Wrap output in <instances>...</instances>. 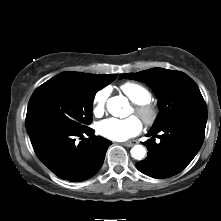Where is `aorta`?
Returning <instances> with one entry per match:
<instances>
[{
	"instance_id": "762f6f07",
	"label": "aorta",
	"mask_w": 221,
	"mask_h": 221,
	"mask_svg": "<svg viewBox=\"0 0 221 221\" xmlns=\"http://www.w3.org/2000/svg\"><path fill=\"white\" fill-rule=\"evenodd\" d=\"M126 100L122 96H115L107 101V108L113 116H119L121 107L124 106ZM146 154V150L142 145H135L131 149V155L136 160H142Z\"/></svg>"
}]
</instances>
